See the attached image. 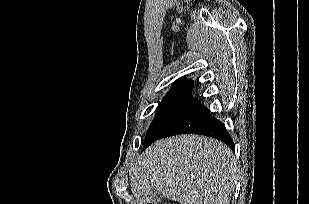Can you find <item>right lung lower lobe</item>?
I'll list each match as a JSON object with an SVG mask.
<instances>
[{"label": "right lung lower lobe", "instance_id": "obj_1", "mask_svg": "<svg viewBox=\"0 0 309 204\" xmlns=\"http://www.w3.org/2000/svg\"><path fill=\"white\" fill-rule=\"evenodd\" d=\"M191 133L216 138L234 150L233 141L226 131L224 124L216 118L211 117L210 111L204 105L197 106L185 114L157 139Z\"/></svg>", "mask_w": 309, "mask_h": 204}]
</instances>
